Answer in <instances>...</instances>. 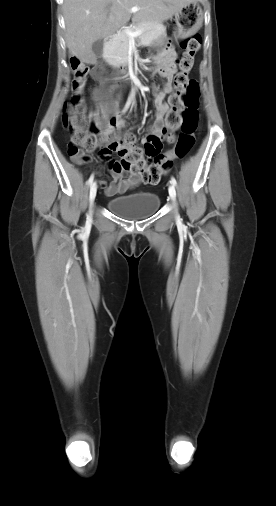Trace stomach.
<instances>
[{
	"label": "stomach",
	"mask_w": 276,
	"mask_h": 506,
	"mask_svg": "<svg viewBox=\"0 0 276 506\" xmlns=\"http://www.w3.org/2000/svg\"><path fill=\"white\" fill-rule=\"evenodd\" d=\"M177 29L174 32L176 42L187 39L191 34L198 30L203 23V11L197 2H192L183 6L175 14ZM166 35L163 33L152 41L150 46L157 48L164 44Z\"/></svg>",
	"instance_id": "1"
}]
</instances>
